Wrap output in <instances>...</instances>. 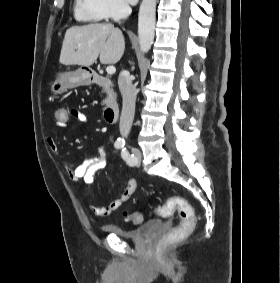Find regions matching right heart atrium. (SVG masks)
I'll list each match as a JSON object with an SVG mask.
<instances>
[{
  "instance_id": "1",
  "label": "right heart atrium",
  "mask_w": 280,
  "mask_h": 283,
  "mask_svg": "<svg viewBox=\"0 0 280 283\" xmlns=\"http://www.w3.org/2000/svg\"><path fill=\"white\" fill-rule=\"evenodd\" d=\"M92 7L104 20H117L129 12V6L125 0H92Z\"/></svg>"
}]
</instances>
